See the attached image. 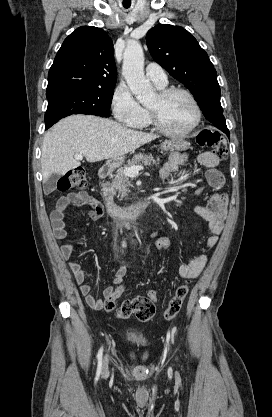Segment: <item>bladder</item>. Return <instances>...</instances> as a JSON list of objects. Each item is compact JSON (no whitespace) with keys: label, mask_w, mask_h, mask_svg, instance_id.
<instances>
[{"label":"bladder","mask_w":272,"mask_h":417,"mask_svg":"<svg viewBox=\"0 0 272 417\" xmlns=\"http://www.w3.org/2000/svg\"><path fill=\"white\" fill-rule=\"evenodd\" d=\"M126 338L129 343L135 344V345H146L147 344V338L139 331L130 330L126 333Z\"/></svg>","instance_id":"obj_1"}]
</instances>
